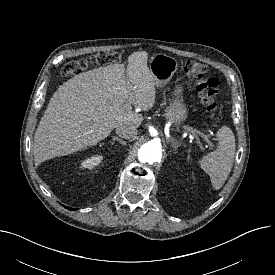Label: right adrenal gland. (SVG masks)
Instances as JSON below:
<instances>
[{
	"mask_svg": "<svg viewBox=\"0 0 275 275\" xmlns=\"http://www.w3.org/2000/svg\"><path fill=\"white\" fill-rule=\"evenodd\" d=\"M112 142H111V144H113V142L114 141H117V142H119L120 144H122V145H126V142L125 141H123L122 139H120V138H118V137H116V136H113L112 137Z\"/></svg>",
	"mask_w": 275,
	"mask_h": 275,
	"instance_id": "2a0ac1e0",
	"label": "right adrenal gland"
}]
</instances>
